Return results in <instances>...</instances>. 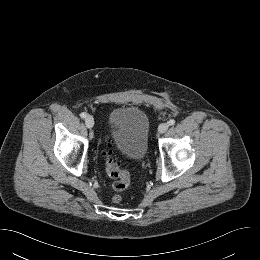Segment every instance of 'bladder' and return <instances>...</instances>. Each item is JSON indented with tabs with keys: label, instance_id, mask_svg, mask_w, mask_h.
Segmentation results:
<instances>
[{
	"label": "bladder",
	"instance_id": "obj_1",
	"mask_svg": "<svg viewBox=\"0 0 260 260\" xmlns=\"http://www.w3.org/2000/svg\"><path fill=\"white\" fill-rule=\"evenodd\" d=\"M111 139L128 159L141 160L148 151L149 120L136 107L123 106L108 116Z\"/></svg>",
	"mask_w": 260,
	"mask_h": 260
}]
</instances>
